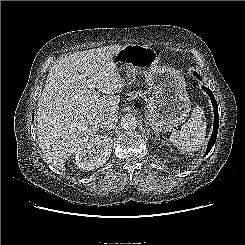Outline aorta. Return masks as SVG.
<instances>
[{
	"label": "aorta",
	"mask_w": 245,
	"mask_h": 245,
	"mask_svg": "<svg viewBox=\"0 0 245 245\" xmlns=\"http://www.w3.org/2000/svg\"><path fill=\"white\" fill-rule=\"evenodd\" d=\"M121 125L124 128V130H133L137 126V120L134 115L126 114L121 119Z\"/></svg>",
	"instance_id": "aorta-1"
}]
</instances>
